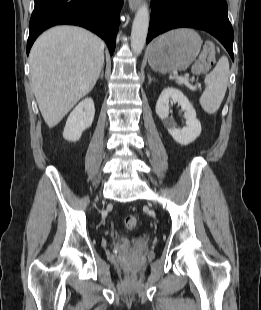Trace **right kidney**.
Instances as JSON below:
<instances>
[{
	"instance_id": "right-kidney-1",
	"label": "right kidney",
	"mask_w": 261,
	"mask_h": 310,
	"mask_svg": "<svg viewBox=\"0 0 261 310\" xmlns=\"http://www.w3.org/2000/svg\"><path fill=\"white\" fill-rule=\"evenodd\" d=\"M95 107L91 98L82 100L70 113L63 132L64 139L78 141L82 132L92 125Z\"/></svg>"
}]
</instances>
